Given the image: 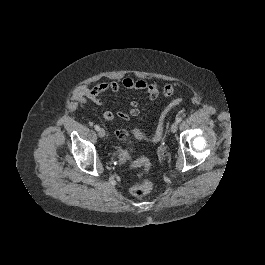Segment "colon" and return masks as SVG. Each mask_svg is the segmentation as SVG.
<instances>
[{"label":"colon","mask_w":265,"mask_h":265,"mask_svg":"<svg viewBox=\"0 0 265 265\" xmlns=\"http://www.w3.org/2000/svg\"><path fill=\"white\" fill-rule=\"evenodd\" d=\"M163 93L166 97H170L173 94V89L170 85H167L163 89ZM183 100L181 98L174 99L161 113L155 134L152 138H146L141 132L134 131V135L141 140H148L153 143L159 142L163 138L164 133V121L167 114L171 111L172 108L180 104ZM116 136L119 139H124L127 137L128 132L126 130H118L115 132ZM133 165L136 167H141L144 173H148L151 169V162L147 158H139L133 162ZM153 188V181L150 179H145L139 184H135L130 188L132 195L136 197H141L148 194Z\"/></svg>","instance_id":"5ec220e1"}]
</instances>
